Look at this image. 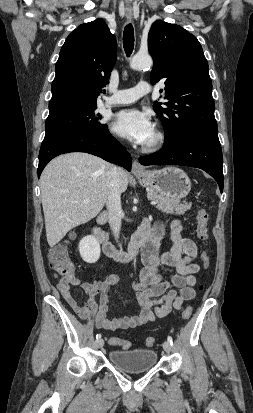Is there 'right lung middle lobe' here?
I'll return each instance as SVG.
<instances>
[{
	"label": "right lung middle lobe",
	"instance_id": "1",
	"mask_svg": "<svg viewBox=\"0 0 253 413\" xmlns=\"http://www.w3.org/2000/svg\"><path fill=\"white\" fill-rule=\"evenodd\" d=\"M95 109L96 107L68 110L48 116L44 139L63 134L96 133L105 129L107 126L99 121L101 116H95Z\"/></svg>",
	"mask_w": 253,
	"mask_h": 413
}]
</instances>
